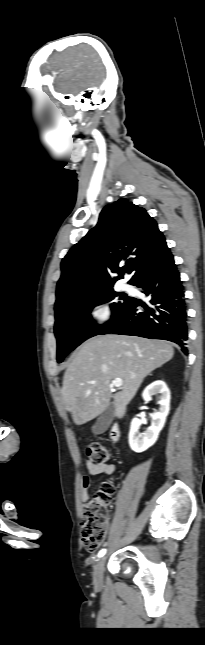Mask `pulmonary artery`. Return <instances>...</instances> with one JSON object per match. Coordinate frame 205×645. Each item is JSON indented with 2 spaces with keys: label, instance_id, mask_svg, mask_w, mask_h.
<instances>
[{
  "label": "pulmonary artery",
  "instance_id": "e3ab8cb5",
  "mask_svg": "<svg viewBox=\"0 0 205 645\" xmlns=\"http://www.w3.org/2000/svg\"><path fill=\"white\" fill-rule=\"evenodd\" d=\"M121 287H122V289H124V290H129V289L131 288V287H130V285H129V284H127V283H125V282H124V283H122Z\"/></svg>",
  "mask_w": 205,
  "mask_h": 645
}]
</instances>
